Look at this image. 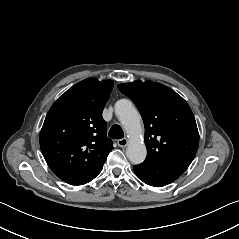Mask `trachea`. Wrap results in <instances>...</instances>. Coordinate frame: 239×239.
Here are the masks:
<instances>
[{
	"mask_svg": "<svg viewBox=\"0 0 239 239\" xmlns=\"http://www.w3.org/2000/svg\"><path fill=\"white\" fill-rule=\"evenodd\" d=\"M108 135L112 139H121L124 137V132L119 125L115 124L110 128Z\"/></svg>",
	"mask_w": 239,
	"mask_h": 239,
	"instance_id": "1",
	"label": "trachea"
}]
</instances>
